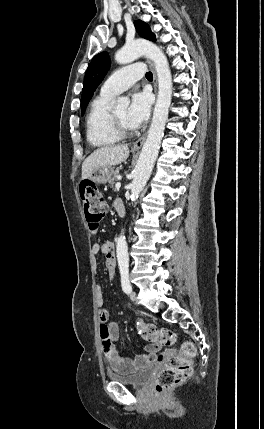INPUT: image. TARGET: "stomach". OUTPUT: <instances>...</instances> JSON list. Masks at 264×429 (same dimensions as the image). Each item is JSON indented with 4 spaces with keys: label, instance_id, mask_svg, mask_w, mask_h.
Returning a JSON list of instances; mask_svg holds the SVG:
<instances>
[{
    "label": "stomach",
    "instance_id": "1",
    "mask_svg": "<svg viewBox=\"0 0 264 429\" xmlns=\"http://www.w3.org/2000/svg\"><path fill=\"white\" fill-rule=\"evenodd\" d=\"M114 174V167L102 166L97 168L89 176V179L95 183H106Z\"/></svg>",
    "mask_w": 264,
    "mask_h": 429
}]
</instances>
